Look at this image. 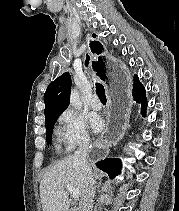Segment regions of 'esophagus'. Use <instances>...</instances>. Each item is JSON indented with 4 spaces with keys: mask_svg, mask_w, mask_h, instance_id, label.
<instances>
[{
    "mask_svg": "<svg viewBox=\"0 0 179 211\" xmlns=\"http://www.w3.org/2000/svg\"><path fill=\"white\" fill-rule=\"evenodd\" d=\"M90 48L93 52L94 69L98 79L105 82L106 91L108 94L107 113L109 119H106V128L102 133L103 140L100 144H93L92 151H89L90 163H100L101 159H105L109 145H117L120 141L121 133L127 130V121L130 113V82L128 77H125L127 72L126 64H122V59L119 56H106V52H102L103 45H95V42L90 43Z\"/></svg>",
    "mask_w": 179,
    "mask_h": 211,
    "instance_id": "34e87169",
    "label": "esophagus"
}]
</instances>
